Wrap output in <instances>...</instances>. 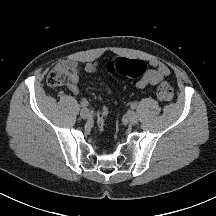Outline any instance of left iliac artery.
I'll list each match as a JSON object with an SVG mask.
<instances>
[{"label": "left iliac artery", "mask_w": 216, "mask_h": 216, "mask_svg": "<svg viewBox=\"0 0 216 216\" xmlns=\"http://www.w3.org/2000/svg\"><path fill=\"white\" fill-rule=\"evenodd\" d=\"M136 107H137V103L134 102V103L131 104L132 109H135Z\"/></svg>", "instance_id": "1"}]
</instances>
